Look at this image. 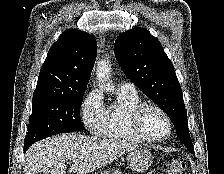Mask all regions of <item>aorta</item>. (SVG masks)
<instances>
[{"label":"aorta","mask_w":224,"mask_h":174,"mask_svg":"<svg viewBox=\"0 0 224 174\" xmlns=\"http://www.w3.org/2000/svg\"><path fill=\"white\" fill-rule=\"evenodd\" d=\"M110 72V65L107 61L101 60L97 66V79L99 83L104 84L106 90H111L108 83V75Z\"/></svg>","instance_id":"obj_1"}]
</instances>
